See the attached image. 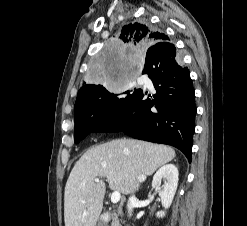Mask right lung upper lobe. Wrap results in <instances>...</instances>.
Returning <instances> with one entry per match:
<instances>
[{
	"mask_svg": "<svg viewBox=\"0 0 247 226\" xmlns=\"http://www.w3.org/2000/svg\"><path fill=\"white\" fill-rule=\"evenodd\" d=\"M117 39L121 42L123 47H127L131 44L152 46L157 43H165L169 41V37L167 35L159 32L151 25L138 22L124 25L120 31V34L117 35ZM97 88L98 85L95 84L83 85L78 92L76 102L86 96H89Z\"/></svg>",
	"mask_w": 247,
	"mask_h": 226,
	"instance_id": "right-lung-upper-lobe-1",
	"label": "right lung upper lobe"
}]
</instances>
